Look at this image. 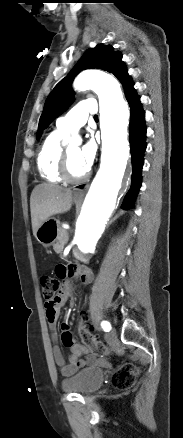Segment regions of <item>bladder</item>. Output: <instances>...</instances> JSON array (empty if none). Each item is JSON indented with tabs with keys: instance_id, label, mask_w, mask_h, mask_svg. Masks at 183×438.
Masks as SVG:
<instances>
[{
	"instance_id": "31cf9c89",
	"label": "bladder",
	"mask_w": 183,
	"mask_h": 438,
	"mask_svg": "<svg viewBox=\"0 0 183 438\" xmlns=\"http://www.w3.org/2000/svg\"><path fill=\"white\" fill-rule=\"evenodd\" d=\"M105 375L96 367L86 368L63 381L64 391L77 394H90L98 390L104 383Z\"/></svg>"
}]
</instances>
